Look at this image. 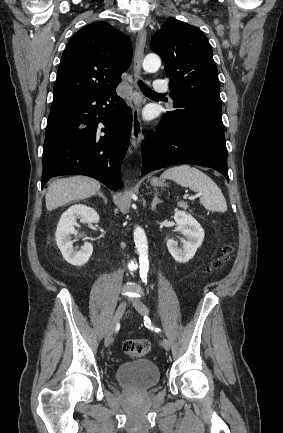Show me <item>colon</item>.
<instances>
[{
  "label": "colon",
  "instance_id": "obj_1",
  "mask_svg": "<svg viewBox=\"0 0 283 433\" xmlns=\"http://www.w3.org/2000/svg\"><path fill=\"white\" fill-rule=\"evenodd\" d=\"M232 253V246L226 245L223 249L222 255L216 258L207 269V272L211 273L214 271L221 270ZM151 350V344L145 339H130L127 340L123 345L124 353L135 359L143 358L149 354Z\"/></svg>",
  "mask_w": 283,
  "mask_h": 433
}]
</instances>
